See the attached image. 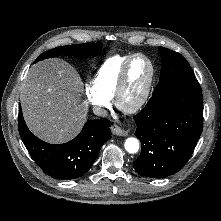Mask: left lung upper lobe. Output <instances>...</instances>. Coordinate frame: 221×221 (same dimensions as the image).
<instances>
[{"label": "left lung upper lobe", "instance_id": "obj_1", "mask_svg": "<svg viewBox=\"0 0 221 221\" xmlns=\"http://www.w3.org/2000/svg\"><path fill=\"white\" fill-rule=\"evenodd\" d=\"M158 50L161 55L162 70L159 83L153 94L162 93L178 82L195 79V75L189 63L182 55L164 47H159Z\"/></svg>", "mask_w": 221, "mask_h": 221}]
</instances>
